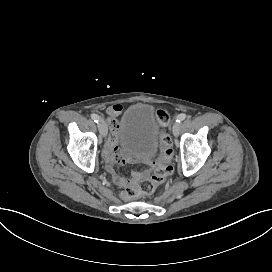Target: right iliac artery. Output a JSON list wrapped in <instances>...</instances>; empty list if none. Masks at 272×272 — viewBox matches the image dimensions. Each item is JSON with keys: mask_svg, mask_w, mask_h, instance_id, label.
<instances>
[{"mask_svg": "<svg viewBox=\"0 0 272 272\" xmlns=\"http://www.w3.org/2000/svg\"><path fill=\"white\" fill-rule=\"evenodd\" d=\"M91 118H92V119L94 120V122H96V123H99V121H100L99 116L96 115V114H92V115H91Z\"/></svg>", "mask_w": 272, "mask_h": 272, "instance_id": "82829eb1", "label": "right iliac artery"}]
</instances>
